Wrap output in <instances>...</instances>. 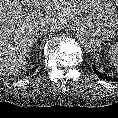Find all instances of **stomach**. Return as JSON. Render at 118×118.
I'll return each instance as SVG.
<instances>
[{
	"instance_id": "obj_1",
	"label": "stomach",
	"mask_w": 118,
	"mask_h": 118,
	"mask_svg": "<svg viewBox=\"0 0 118 118\" xmlns=\"http://www.w3.org/2000/svg\"><path fill=\"white\" fill-rule=\"evenodd\" d=\"M82 23L93 29L103 40H111L118 31V14L109 0H100L95 10L82 18Z\"/></svg>"
}]
</instances>
